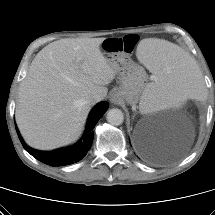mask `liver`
Returning <instances> with one entry per match:
<instances>
[{
  "label": "liver",
  "instance_id": "6515ba94",
  "mask_svg": "<svg viewBox=\"0 0 215 215\" xmlns=\"http://www.w3.org/2000/svg\"><path fill=\"white\" fill-rule=\"evenodd\" d=\"M104 40L61 39L36 55L20 84L15 113L29 146L52 150L77 139L93 105L91 97H105L106 85L116 76L100 50Z\"/></svg>",
  "mask_w": 215,
  "mask_h": 215
}]
</instances>
